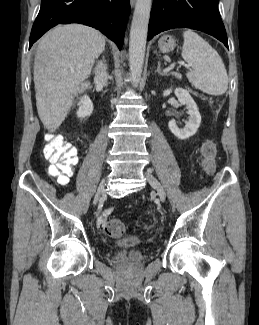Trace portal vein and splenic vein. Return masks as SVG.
Here are the masks:
<instances>
[{"label": "portal vein and splenic vein", "mask_w": 259, "mask_h": 325, "mask_svg": "<svg viewBox=\"0 0 259 325\" xmlns=\"http://www.w3.org/2000/svg\"><path fill=\"white\" fill-rule=\"evenodd\" d=\"M185 67H188V65H185ZM170 69H171V67L167 68V70H170Z\"/></svg>", "instance_id": "18ae733b"}]
</instances>
